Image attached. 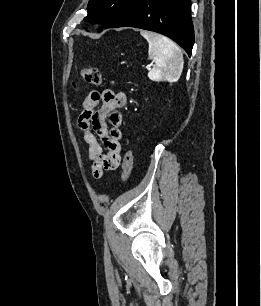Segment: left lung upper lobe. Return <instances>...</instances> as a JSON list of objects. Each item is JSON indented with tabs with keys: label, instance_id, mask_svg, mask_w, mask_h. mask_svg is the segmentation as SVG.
<instances>
[{
	"label": "left lung upper lobe",
	"instance_id": "5c2ea615",
	"mask_svg": "<svg viewBox=\"0 0 261 306\" xmlns=\"http://www.w3.org/2000/svg\"><path fill=\"white\" fill-rule=\"evenodd\" d=\"M133 0H90L85 21L111 28L126 12ZM100 31V30H99Z\"/></svg>",
	"mask_w": 261,
	"mask_h": 306
}]
</instances>
